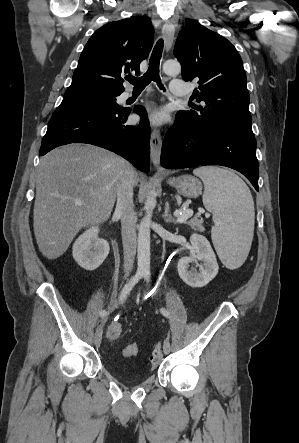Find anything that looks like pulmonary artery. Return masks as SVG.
<instances>
[{"label": "pulmonary artery", "instance_id": "pulmonary-artery-1", "mask_svg": "<svg viewBox=\"0 0 299 443\" xmlns=\"http://www.w3.org/2000/svg\"><path fill=\"white\" fill-rule=\"evenodd\" d=\"M170 91L175 96H186L189 93L187 85L178 79H173L170 82ZM129 96V94L125 95L126 98Z\"/></svg>", "mask_w": 299, "mask_h": 443}]
</instances>
